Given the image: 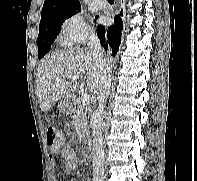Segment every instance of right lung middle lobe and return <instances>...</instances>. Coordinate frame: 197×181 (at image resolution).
Instances as JSON below:
<instances>
[{"mask_svg": "<svg viewBox=\"0 0 197 181\" xmlns=\"http://www.w3.org/2000/svg\"><path fill=\"white\" fill-rule=\"evenodd\" d=\"M80 12V8L68 12L41 17L38 34V58L41 59L51 48L66 18ZM97 18V17H96Z\"/></svg>", "mask_w": 197, "mask_h": 181, "instance_id": "right-lung-middle-lobe-1", "label": "right lung middle lobe"}]
</instances>
